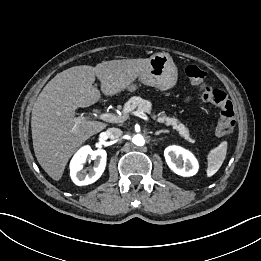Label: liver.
Masks as SVG:
<instances>
[{
    "instance_id": "obj_1",
    "label": "liver",
    "mask_w": 261,
    "mask_h": 261,
    "mask_svg": "<svg viewBox=\"0 0 261 261\" xmlns=\"http://www.w3.org/2000/svg\"><path fill=\"white\" fill-rule=\"evenodd\" d=\"M148 64L149 58L80 65L62 71L46 84L33 105L31 130L37 161L53 180L59 181L73 153L107 126L86 118L74 121L77 108L100 100V91L93 86L95 77L101 82V92L113 96L128 88Z\"/></svg>"
}]
</instances>
